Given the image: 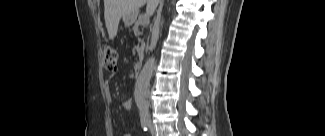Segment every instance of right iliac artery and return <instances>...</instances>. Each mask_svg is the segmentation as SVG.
<instances>
[{"label":"right iliac artery","mask_w":325,"mask_h":136,"mask_svg":"<svg viewBox=\"0 0 325 136\" xmlns=\"http://www.w3.org/2000/svg\"><path fill=\"white\" fill-rule=\"evenodd\" d=\"M140 121L143 130L146 131L149 125V117L146 114H141Z\"/></svg>","instance_id":"right-iliac-artery-1"}]
</instances>
